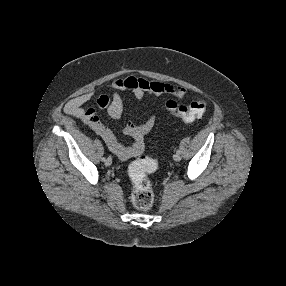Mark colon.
Wrapping results in <instances>:
<instances>
[{
    "label": "colon",
    "instance_id": "5ec220e1",
    "mask_svg": "<svg viewBox=\"0 0 286 286\" xmlns=\"http://www.w3.org/2000/svg\"><path fill=\"white\" fill-rule=\"evenodd\" d=\"M207 107L203 98H198L189 104H179L173 100L165 102L168 112L175 114L185 122L200 118ZM157 168V163L147 157L139 158L130 167V177L133 183L132 202L139 210H148L154 203V193L148 174Z\"/></svg>",
    "mask_w": 286,
    "mask_h": 286
}]
</instances>
